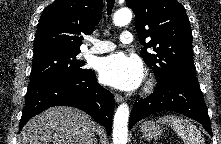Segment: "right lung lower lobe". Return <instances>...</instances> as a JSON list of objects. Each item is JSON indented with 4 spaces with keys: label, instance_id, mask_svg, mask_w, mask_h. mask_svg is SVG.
Instances as JSON below:
<instances>
[{
    "label": "right lung lower lobe",
    "instance_id": "right-lung-lower-lobe-1",
    "mask_svg": "<svg viewBox=\"0 0 221 144\" xmlns=\"http://www.w3.org/2000/svg\"><path fill=\"white\" fill-rule=\"evenodd\" d=\"M52 106L79 108L103 125L108 135L111 132L114 97L97 83L92 70L81 75L54 77L28 88L19 132L30 118Z\"/></svg>",
    "mask_w": 221,
    "mask_h": 144
}]
</instances>
